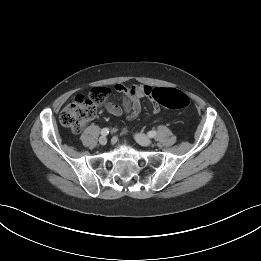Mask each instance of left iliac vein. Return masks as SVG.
Masks as SVG:
<instances>
[{
  "label": "left iliac vein",
  "mask_w": 261,
  "mask_h": 261,
  "mask_svg": "<svg viewBox=\"0 0 261 261\" xmlns=\"http://www.w3.org/2000/svg\"><path fill=\"white\" fill-rule=\"evenodd\" d=\"M135 140L142 146H150L152 144V141L149 137L140 133L135 134Z\"/></svg>",
  "instance_id": "left-iliac-vein-1"
}]
</instances>
